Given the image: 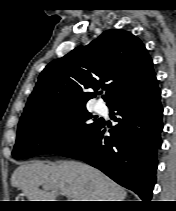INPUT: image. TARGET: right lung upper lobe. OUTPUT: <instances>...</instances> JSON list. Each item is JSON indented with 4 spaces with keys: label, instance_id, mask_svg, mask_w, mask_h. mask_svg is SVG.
<instances>
[{
    "label": "right lung upper lobe",
    "instance_id": "1",
    "mask_svg": "<svg viewBox=\"0 0 176 211\" xmlns=\"http://www.w3.org/2000/svg\"><path fill=\"white\" fill-rule=\"evenodd\" d=\"M156 83L152 59L142 42L124 30L105 31L87 46L50 62L41 72L21 116L85 106L94 91L107 89L108 107L147 91Z\"/></svg>",
    "mask_w": 176,
    "mask_h": 211
}]
</instances>
